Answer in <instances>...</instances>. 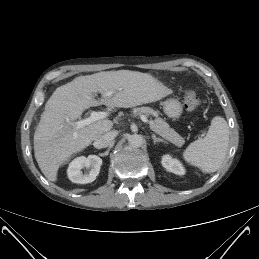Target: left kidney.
<instances>
[{
	"label": "left kidney",
	"instance_id": "left-kidney-1",
	"mask_svg": "<svg viewBox=\"0 0 259 259\" xmlns=\"http://www.w3.org/2000/svg\"><path fill=\"white\" fill-rule=\"evenodd\" d=\"M162 166L166 168L169 172L177 175H184L185 169L182 164L177 160L173 159L170 155H164L162 157Z\"/></svg>",
	"mask_w": 259,
	"mask_h": 259
}]
</instances>
